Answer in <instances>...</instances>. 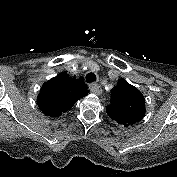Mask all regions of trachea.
Returning <instances> with one entry per match:
<instances>
[{
	"label": "trachea",
	"mask_w": 177,
	"mask_h": 177,
	"mask_svg": "<svg viewBox=\"0 0 177 177\" xmlns=\"http://www.w3.org/2000/svg\"><path fill=\"white\" fill-rule=\"evenodd\" d=\"M94 81H96L95 74L94 73H88L86 75V82L91 83V82H94Z\"/></svg>",
	"instance_id": "1"
}]
</instances>
